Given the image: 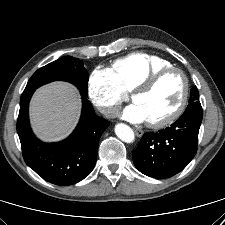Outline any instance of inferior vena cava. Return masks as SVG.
I'll use <instances>...</instances> for the list:
<instances>
[{"mask_svg": "<svg viewBox=\"0 0 225 225\" xmlns=\"http://www.w3.org/2000/svg\"><path fill=\"white\" fill-rule=\"evenodd\" d=\"M117 111H118L117 107H107L102 110V113L106 117H114Z\"/></svg>", "mask_w": 225, "mask_h": 225, "instance_id": "1", "label": "inferior vena cava"}]
</instances>
